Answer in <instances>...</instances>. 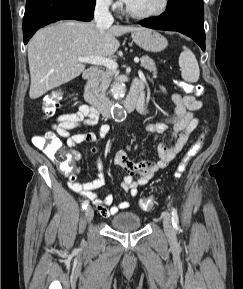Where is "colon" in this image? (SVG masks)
<instances>
[{
  "instance_id": "obj_1",
  "label": "colon",
  "mask_w": 243,
  "mask_h": 289,
  "mask_svg": "<svg viewBox=\"0 0 243 289\" xmlns=\"http://www.w3.org/2000/svg\"><path fill=\"white\" fill-rule=\"evenodd\" d=\"M178 85L186 92L194 91L198 96H202L205 93V88L201 85L194 87L185 82H179ZM62 97L63 93L61 90H52L44 97L42 109L45 117L54 115ZM203 137L204 136L202 135L186 152L184 158L177 167L175 178L182 176L190 160L199 152L203 144ZM32 143L35 147L43 150L51 160L57 163L64 173L72 174L74 172L75 160L72 153L63 149L62 141L54 133L46 132L41 135H35L32 137ZM139 205L142 210L149 211L154 206V200L151 197H146L139 201Z\"/></svg>"
}]
</instances>
